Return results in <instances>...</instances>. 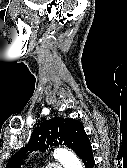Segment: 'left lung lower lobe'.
<instances>
[{"instance_id": "left-lung-lower-lobe-1", "label": "left lung lower lobe", "mask_w": 127, "mask_h": 168, "mask_svg": "<svg viewBox=\"0 0 127 168\" xmlns=\"http://www.w3.org/2000/svg\"><path fill=\"white\" fill-rule=\"evenodd\" d=\"M77 155L82 159L85 168H93L95 165L92 146L90 140L86 138L77 151Z\"/></svg>"}]
</instances>
